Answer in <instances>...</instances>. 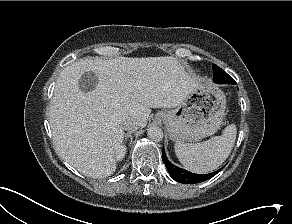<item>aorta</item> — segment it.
<instances>
[{
  "instance_id": "aorta-1",
  "label": "aorta",
  "mask_w": 292,
  "mask_h": 224,
  "mask_svg": "<svg viewBox=\"0 0 292 224\" xmlns=\"http://www.w3.org/2000/svg\"><path fill=\"white\" fill-rule=\"evenodd\" d=\"M147 135L153 141H161L163 138V131L158 126H151L148 129Z\"/></svg>"
}]
</instances>
